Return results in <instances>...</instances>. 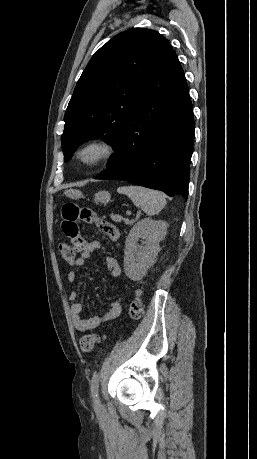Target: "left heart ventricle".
Instances as JSON below:
<instances>
[{
    "label": "left heart ventricle",
    "instance_id": "obj_1",
    "mask_svg": "<svg viewBox=\"0 0 257 459\" xmlns=\"http://www.w3.org/2000/svg\"><path fill=\"white\" fill-rule=\"evenodd\" d=\"M97 155V152L95 150H88L83 154V159L84 160H91Z\"/></svg>",
    "mask_w": 257,
    "mask_h": 459
}]
</instances>
